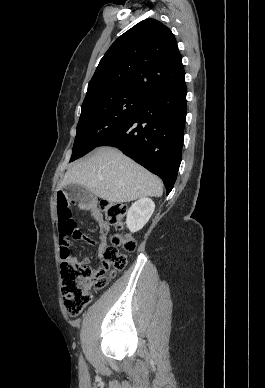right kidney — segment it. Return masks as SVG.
Here are the masks:
<instances>
[{
    "mask_svg": "<svg viewBox=\"0 0 265 388\" xmlns=\"http://www.w3.org/2000/svg\"><path fill=\"white\" fill-rule=\"evenodd\" d=\"M155 210V204L150 198H140L135 204H132L127 214V228L130 232H139L143 226L150 220Z\"/></svg>",
    "mask_w": 265,
    "mask_h": 388,
    "instance_id": "ca27d5eb",
    "label": "right kidney"
}]
</instances>
